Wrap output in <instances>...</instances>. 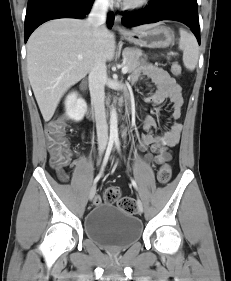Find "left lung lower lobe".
Segmentation results:
<instances>
[{
  "instance_id": "0a47b994",
  "label": "left lung lower lobe",
  "mask_w": 231,
  "mask_h": 281,
  "mask_svg": "<svg viewBox=\"0 0 231 281\" xmlns=\"http://www.w3.org/2000/svg\"><path fill=\"white\" fill-rule=\"evenodd\" d=\"M161 20H175L191 28L200 44V27L196 0H152L141 12L123 15L124 26L142 25Z\"/></svg>"
}]
</instances>
